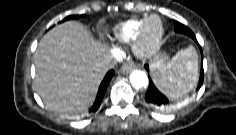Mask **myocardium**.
<instances>
[{"instance_id": "f54148a6", "label": "myocardium", "mask_w": 236, "mask_h": 135, "mask_svg": "<svg viewBox=\"0 0 236 135\" xmlns=\"http://www.w3.org/2000/svg\"><path fill=\"white\" fill-rule=\"evenodd\" d=\"M156 21L158 24L157 34L149 38L147 36L148 25L150 22ZM165 36V27L162 19L155 14L147 16L138 31L136 38L133 40L132 51L141 59H149L157 54L160 50Z\"/></svg>"}]
</instances>
